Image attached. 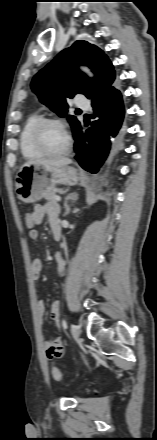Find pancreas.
Returning <instances> with one entry per match:
<instances>
[{
    "mask_svg": "<svg viewBox=\"0 0 157 440\" xmlns=\"http://www.w3.org/2000/svg\"><path fill=\"white\" fill-rule=\"evenodd\" d=\"M57 192H61L60 189H54L51 193H49L48 195H46L45 199L48 200L49 202H53L55 203V197H56V193Z\"/></svg>",
    "mask_w": 157,
    "mask_h": 440,
    "instance_id": "1",
    "label": "pancreas"
}]
</instances>
